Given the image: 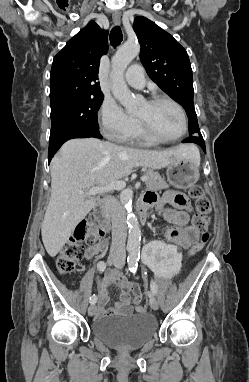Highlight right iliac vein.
I'll use <instances>...</instances> for the list:
<instances>
[{"instance_id": "63e3f726", "label": "right iliac vein", "mask_w": 249, "mask_h": 382, "mask_svg": "<svg viewBox=\"0 0 249 382\" xmlns=\"http://www.w3.org/2000/svg\"><path fill=\"white\" fill-rule=\"evenodd\" d=\"M119 261H120V257H118V256H109L108 260H107L109 265L116 264ZM95 313H96V305L95 304H91L89 306V308H88V314L90 316H93Z\"/></svg>"}]
</instances>
